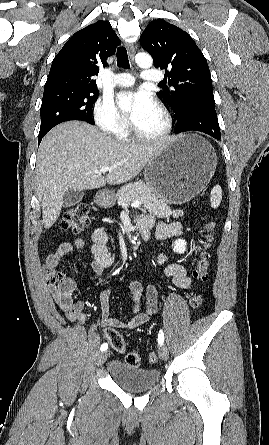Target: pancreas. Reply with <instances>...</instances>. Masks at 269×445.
<instances>
[{"label":"pancreas","mask_w":269,"mask_h":445,"mask_svg":"<svg viewBox=\"0 0 269 445\" xmlns=\"http://www.w3.org/2000/svg\"><path fill=\"white\" fill-rule=\"evenodd\" d=\"M118 206L126 208L131 202L142 201L143 207L159 218H179L183 211L171 209L162 199L147 189L143 182L124 185L116 195Z\"/></svg>","instance_id":"cf45deb5"}]
</instances>
